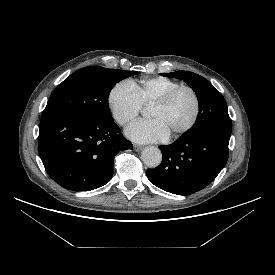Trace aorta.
Instances as JSON below:
<instances>
[{"label":"aorta","instance_id":"1","mask_svg":"<svg viewBox=\"0 0 275 275\" xmlns=\"http://www.w3.org/2000/svg\"><path fill=\"white\" fill-rule=\"evenodd\" d=\"M142 160L150 168H156L160 165L162 161L161 151L154 146L146 147L142 151Z\"/></svg>","mask_w":275,"mask_h":275}]
</instances>
